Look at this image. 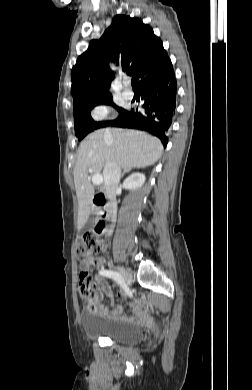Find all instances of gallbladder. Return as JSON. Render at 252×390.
<instances>
[{"label": "gallbladder", "mask_w": 252, "mask_h": 390, "mask_svg": "<svg viewBox=\"0 0 252 390\" xmlns=\"http://www.w3.org/2000/svg\"><path fill=\"white\" fill-rule=\"evenodd\" d=\"M94 227V218L93 217H90L87 222L84 224V226L82 227V232L83 231H89V230H92Z\"/></svg>", "instance_id": "bac80fb5"}]
</instances>
